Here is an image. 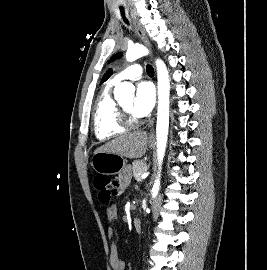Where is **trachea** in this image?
I'll return each mask as SVG.
<instances>
[{
    "label": "trachea",
    "instance_id": "trachea-1",
    "mask_svg": "<svg viewBox=\"0 0 267 270\" xmlns=\"http://www.w3.org/2000/svg\"><path fill=\"white\" fill-rule=\"evenodd\" d=\"M120 11H121V15L123 16L124 21L128 24V20L125 18L124 9L120 8ZM146 71L148 75H154V69L151 65L146 66Z\"/></svg>",
    "mask_w": 267,
    "mask_h": 270
}]
</instances>
